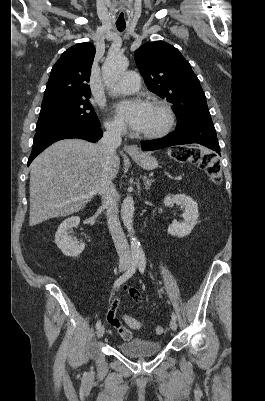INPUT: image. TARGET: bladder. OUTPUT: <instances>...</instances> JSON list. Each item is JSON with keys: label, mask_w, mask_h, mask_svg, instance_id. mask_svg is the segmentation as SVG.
<instances>
[{"label": "bladder", "mask_w": 265, "mask_h": 401, "mask_svg": "<svg viewBox=\"0 0 265 401\" xmlns=\"http://www.w3.org/2000/svg\"><path fill=\"white\" fill-rule=\"evenodd\" d=\"M117 349L130 356L147 357L158 353L162 349V342L134 339L124 344H117Z\"/></svg>", "instance_id": "obj_1"}]
</instances>
